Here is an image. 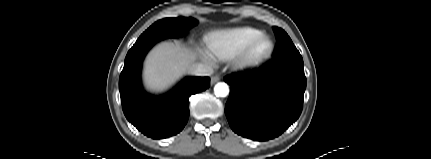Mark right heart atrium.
Returning <instances> with one entry per match:
<instances>
[{
    "label": "right heart atrium",
    "instance_id": "obj_1",
    "mask_svg": "<svg viewBox=\"0 0 431 159\" xmlns=\"http://www.w3.org/2000/svg\"><path fill=\"white\" fill-rule=\"evenodd\" d=\"M202 56H203L205 59H207V60H212V59H213V57H212L211 53H210V52H208L207 50H203V51H202Z\"/></svg>",
    "mask_w": 431,
    "mask_h": 159
}]
</instances>
